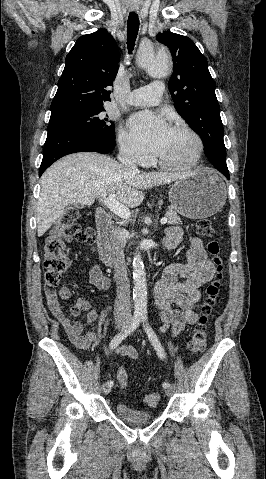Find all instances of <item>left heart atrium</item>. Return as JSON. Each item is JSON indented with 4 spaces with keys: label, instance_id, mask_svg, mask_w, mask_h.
Returning <instances> with one entry per match:
<instances>
[{
    "label": "left heart atrium",
    "instance_id": "1",
    "mask_svg": "<svg viewBox=\"0 0 266 479\" xmlns=\"http://www.w3.org/2000/svg\"><path fill=\"white\" fill-rule=\"evenodd\" d=\"M129 126L135 139L157 155L165 149L172 132L163 118L149 111L134 114L129 119Z\"/></svg>",
    "mask_w": 266,
    "mask_h": 479
}]
</instances>
